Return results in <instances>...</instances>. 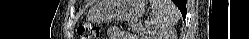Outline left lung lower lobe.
Wrapping results in <instances>:
<instances>
[{"label":"left lung lower lobe","instance_id":"left-lung-lower-lobe-1","mask_svg":"<svg viewBox=\"0 0 249 39\" xmlns=\"http://www.w3.org/2000/svg\"><path fill=\"white\" fill-rule=\"evenodd\" d=\"M174 3L180 9L183 17H185L186 16V1L185 0H174Z\"/></svg>","mask_w":249,"mask_h":39}]
</instances>
